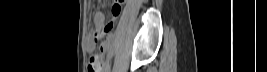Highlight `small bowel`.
Listing matches in <instances>:
<instances>
[{
	"label": "small bowel",
	"instance_id": "1",
	"mask_svg": "<svg viewBox=\"0 0 267 72\" xmlns=\"http://www.w3.org/2000/svg\"><path fill=\"white\" fill-rule=\"evenodd\" d=\"M122 4H123V1H120V5H119L120 6V10L118 12L114 10L115 4H113L111 21L114 22L119 17V15L121 14ZM92 21H93V26H94V34H93V38L90 39L88 41V43L86 44L87 50L89 52H92L94 50V48H95V40L101 39L103 37H107V40L104 43V48L108 52L111 51L112 36L110 35V32H106L105 31L106 25L111 21H109L108 23L105 24V17H104V14L102 12H96L93 15ZM100 60H101V58H100ZM101 69H102V64H101Z\"/></svg>",
	"mask_w": 267,
	"mask_h": 72
}]
</instances>
